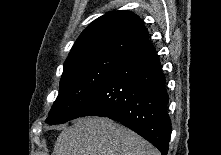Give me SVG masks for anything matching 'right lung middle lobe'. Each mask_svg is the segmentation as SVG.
<instances>
[{"mask_svg": "<svg viewBox=\"0 0 221 155\" xmlns=\"http://www.w3.org/2000/svg\"><path fill=\"white\" fill-rule=\"evenodd\" d=\"M123 55L103 53L78 59L64 67L60 92L47 123L60 124L80 117L112 69Z\"/></svg>", "mask_w": 221, "mask_h": 155, "instance_id": "right-lung-middle-lobe-1", "label": "right lung middle lobe"}]
</instances>
